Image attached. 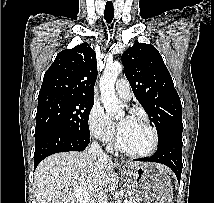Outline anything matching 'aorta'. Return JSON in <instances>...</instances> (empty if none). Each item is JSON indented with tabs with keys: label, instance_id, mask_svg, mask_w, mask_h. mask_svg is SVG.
<instances>
[{
	"label": "aorta",
	"instance_id": "762f6f07",
	"mask_svg": "<svg viewBox=\"0 0 214 203\" xmlns=\"http://www.w3.org/2000/svg\"><path fill=\"white\" fill-rule=\"evenodd\" d=\"M123 70V66L119 62H113L106 65V68L100 78V92L102 102L108 113L118 117H122L124 112L119 105L115 94V82L119 73Z\"/></svg>",
	"mask_w": 214,
	"mask_h": 203
}]
</instances>
